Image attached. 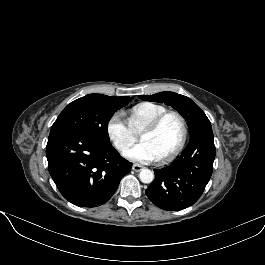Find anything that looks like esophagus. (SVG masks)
Returning a JSON list of instances; mask_svg holds the SVG:
<instances>
[{
    "label": "esophagus",
    "mask_w": 265,
    "mask_h": 265,
    "mask_svg": "<svg viewBox=\"0 0 265 265\" xmlns=\"http://www.w3.org/2000/svg\"><path fill=\"white\" fill-rule=\"evenodd\" d=\"M143 169V166L139 165V164H134L132 166V170L135 171V172H139Z\"/></svg>",
    "instance_id": "esophagus-1"
}]
</instances>
